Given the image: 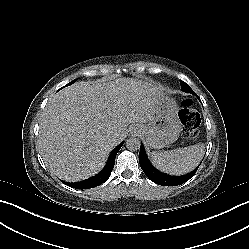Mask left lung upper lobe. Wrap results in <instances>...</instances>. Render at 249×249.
Wrapping results in <instances>:
<instances>
[{"mask_svg": "<svg viewBox=\"0 0 249 249\" xmlns=\"http://www.w3.org/2000/svg\"><path fill=\"white\" fill-rule=\"evenodd\" d=\"M181 84V89L187 93H193L192 89L190 88V86L186 83H184L183 81H180ZM183 180L182 178H178V179H174L175 183H179V181ZM184 182V181H182Z\"/></svg>", "mask_w": 249, "mask_h": 249, "instance_id": "5c2ea615", "label": "left lung upper lobe"}]
</instances>
